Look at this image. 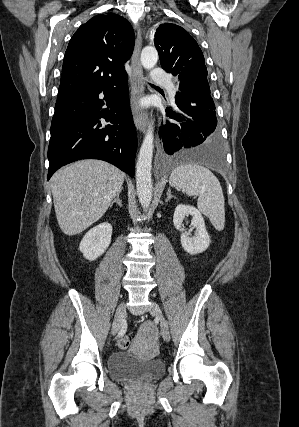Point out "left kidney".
<instances>
[{
    "label": "left kidney",
    "mask_w": 299,
    "mask_h": 427,
    "mask_svg": "<svg viewBox=\"0 0 299 427\" xmlns=\"http://www.w3.org/2000/svg\"><path fill=\"white\" fill-rule=\"evenodd\" d=\"M192 216V228L187 232L182 228V222L186 216ZM173 223L177 230L181 233V244L183 249L191 254L196 255L204 252L209 244L210 237L206 231L205 222L202 214L194 206L179 204L175 208ZM195 230L194 236H191L193 229Z\"/></svg>",
    "instance_id": "5707ae66"
}]
</instances>
